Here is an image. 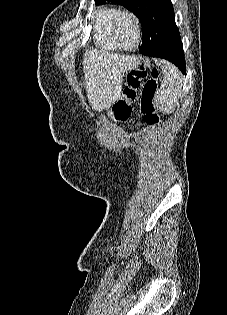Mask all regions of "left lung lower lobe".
Segmentation results:
<instances>
[{"instance_id":"obj_1","label":"left lung lower lobe","mask_w":227,"mask_h":315,"mask_svg":"<svg viewBox=\"0 0 227 315\" xmlns=\"http://www.w3.org/2000/svg\"><path fill=\"white\" fill-rule=\"evenodd\" d=\"M139 51L142 55L166 59L174 63L184 74L186 72L185 58L182 45L173 49L163 50L155 48L151 40L148 41L143 40Z\"/></svg>"}]
</instances>
